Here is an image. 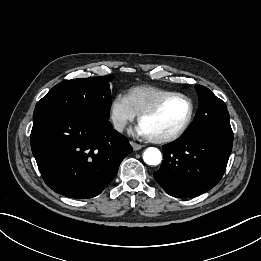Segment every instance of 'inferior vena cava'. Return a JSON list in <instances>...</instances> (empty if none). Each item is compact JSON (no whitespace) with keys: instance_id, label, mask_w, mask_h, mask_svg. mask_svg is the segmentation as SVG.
<instances>
[{"instance_id":"obj_1","label":"inferior vena cava","mask_w":261,"mask_h":261,"mask_svg":"<svg viewBox=\"0 0 261 261\" xmlns=\"http://www.w3.org/2000/svg\"><path fill=\"white\" fill-rule=\"evenodd\" d=\"M124 126H125V124H124V122H122V121H115V122H114V127H115V129L118 130V131H122L123 128H124Z\"/></svg>"}]
</instances>
